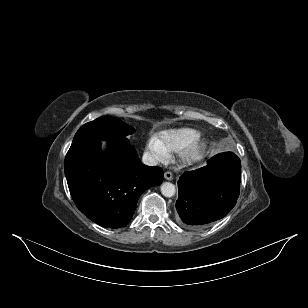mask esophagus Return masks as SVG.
<instances>
[{
    "label": "esophagus",
    "instance_id": "34e87169",
    "mask_svg": "<svg viewBox=\"0 0 308 308\" xmlns=\"http://www.w3.org/2000/svg\"><path fill=\"white\" fill-rule=\"evenodd\" d=\"M164 178L166 180H172L173 179V175H172L171 172L167 171V172L164 173Z\"/></svg>",
    "mask_w": 308,
    "mask_h": 308
}]
</instances>
